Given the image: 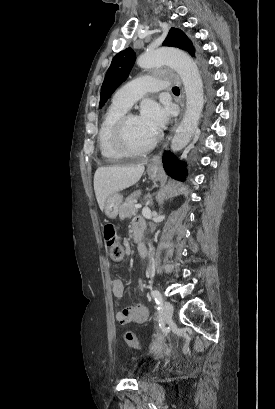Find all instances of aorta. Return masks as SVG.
Here are the masks:
<instances>
[{
    "instance_id": "obj_1",
    "label": "aorta",
    "mask_w": 275,
    "mask_h": 409,
    "mask_svg": "<svg viewBox=\"0 0 275 409\" xmlns=\"http://www.w3.org/2000/svg\"><path fill=\"white\" fill-rule=\"evenodd\" d=\"M137 64L145 68L158 64H169L182 78L186 94L185 114L171 140L172 150H182L190 142L204 106L203 82L196 62L178 48H158L138 56Z\"/></svg>"
}]
</instances>
